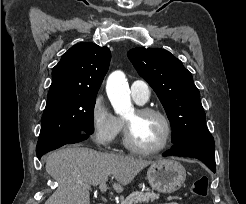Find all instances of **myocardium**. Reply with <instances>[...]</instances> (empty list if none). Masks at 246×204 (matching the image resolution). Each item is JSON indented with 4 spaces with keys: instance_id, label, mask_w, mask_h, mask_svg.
Masks as SVG:
<instances>
[{
    "instance_id": "myocardium-1",
    "label": "myocardium",
    "mask_w": 246,
    "mask_h": 204,
    "mask_svg": "<svg viewBox=\"0 0 246 204\" xmlns=\"http://www.w3.org/2000/svg\"><path fill=\"white\" fill-rule=\"evenodd\" d=\"M136 112L139 115H156V116H158L163 121V123L165 125L164 138H163L162 142L154 148H143V147L137 145L133 141L131 125L125 119L124 120V128H123V130H124V137H123L124 145L129 150H131L135 153L141 154V155H153V154L159 153L162 150H164L168 146V144L172 138V133H173L172 123H171L169 117L163 111H161L157 108H153V107H140V108L136 109Z\"/></svg>"
}]
</instances>
